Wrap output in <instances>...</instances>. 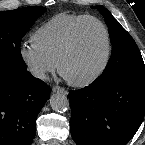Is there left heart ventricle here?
Here are the masks:
<instances>
[{"instance_id":"obj_1","label":"left heart ventricle","mask_w":145,"mask_h":145,"mask_svg":"<svg viewBox=\"0 0 145 145\" xmlns=\"http://www.w3.org/2000/svg\"><path fill=\"white\" fill-rule=\"evenodd\" d=\"M106 40L103 29L93 21L85 22L77 44L62 65L63 75L70 80H82L95 72L104 60Z\"/></svg>"}]
</instances>
